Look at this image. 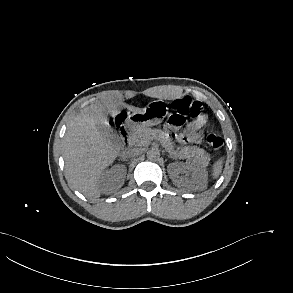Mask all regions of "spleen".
<instances>
[{"label":"spleen","mask_w":293,"mask_h":293,"mask_svg":"<svg viewBox=\"0 0 293 293\" xmlns=\"http://www.w3.org/2000/svg\"><path fill=\"white\" fill-rule=\"evenodd\" d=\"M221 170H222V160H219L213 165L212 177L217 178L220 175Z\"/></svg>","instance_id":"1"}]
</instances>
